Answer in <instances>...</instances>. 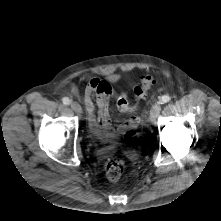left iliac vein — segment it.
<instances>
[{
    "mask_svg": "<svg viewBox=\"0 0 221 221\" xmlns=\"http://www.w3.org/2000/svg\"><path fill=\"white\" fill-rule=\"evenodd\" d=\"M160 110H161L160 104H158V103L154 104L150 110L151 118L156 119L160 113Z\"/></svg>",
    "mask_w": 221,
    "mask_h": 221,
    "instance_id": "left-iliac-vein-1",
    "label": "left iliac vein"
}]
</instances>
